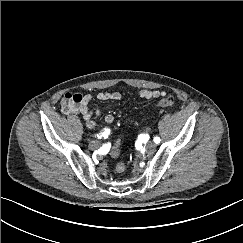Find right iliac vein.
Returning <instances> with one entry per match:
<instances>
[{
    "label": "right iliac vein",
    "mask_w": 243,
    "mask_h": 243,
    "mask_svg": "<svg viewBox=\"0 0 243 243\" xmlns=\"http://www.w3.org/2000/svg\"><path fill=\"white\" fill-rule=\"evenodd\" d=\"M99 146H100V143L97 140H93L89 143V147L91 149H97V148H99Z\"/></svg>",
    "instance_id": "1"
}]
</instances>
